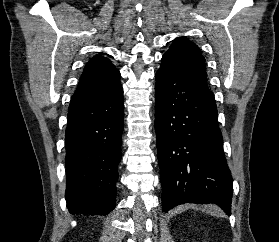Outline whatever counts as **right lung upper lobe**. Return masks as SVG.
I'll return each mask as SVG.
<instances>
[{
  "label": "right lung upper lobe",
  "mask_w": 279,
  "mask_h": 242,
  "mask_svg": "<svg viewBox=\"0 0 279 242\" xmlns=\"http://www.w3.org/2000/svg\"><path fill=\"white\" fill-rule=\"evenodd\" d=\"M119 79L120 72L109 59L96 55L86 64L71 102L106 94L120 85Z\"/></svg>",
  "instance_id": "obj_1"
}]
</instances>
